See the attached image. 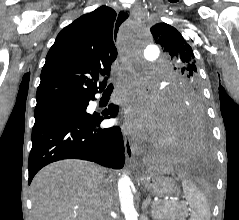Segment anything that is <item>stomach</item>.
Segmentation results:
<instances>
[{
    "label": "stomach",
    "mask_w": 239,
    "mask_h": 220,
    "mask_svg": "<svg viewBox=\"0 0 239 220\" xmlns=\"http://www.w3.org/2000/svg\"><path fill=\"white\" fill-rule=\"evenodd\" d=\"M145 187L157 197L177 195L180 192L178 185L169 178H150V183H145Z\"/></svg>",
    "instance_id": "1"
}]
</instances>
